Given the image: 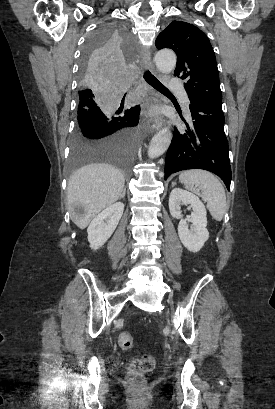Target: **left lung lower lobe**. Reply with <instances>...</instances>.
<instances>
[{
  "label": "left lung lower lobe",
  "mask_w": 275,
  "mask_h": 409,
  "mask_svg": "<svg viewBox=\"0 0 275 409\" xmlns=\"http://www.w3.org/2000/svg\"><path fill=\"white\" fill-rule=\"evenodd\" d=\"M193 126L182 131L175 128L166 154L165 180L187 169H204L218 175L230 190L231 167L228 141L224 133L222 104L190 99Z\"/></svg>",
  "instance_id": "left-lung-lower-lobe-1"
}]
</instances>
